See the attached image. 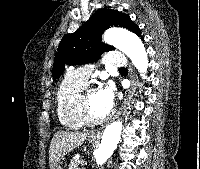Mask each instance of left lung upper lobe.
Segmentation results:
<instances>
[{
    "label": "left lung upper lobe",
    "instance_id": "5c2ea615",
    "mask_svg": "<svg viewBox=\"0 0 200 169\" xmlns=\"http://www.w3.org/2000/svg\"><path fill=\"white\" fill-rule=\"evenodd\" d=\"M112 26L127 28L141 36L139 27L129 16L111 9L98 10L80 29L62 38L55 54L53 79L63 73L65 65L92 63L103 52L114 50V47L101 42L103 32Z\"/></svg>",
    "mask_w": 200,
    "mask_h": 169
}]
</instances>
